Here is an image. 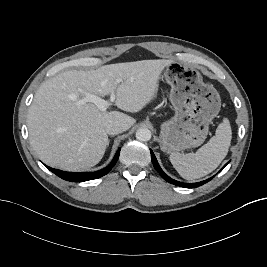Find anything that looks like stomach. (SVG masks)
<instances>
[{
  "label": "stomach",
  "mask_w": 267,
  "mask_h": 267,
  "mask_svg": "<svg viewBox=\"0 0 267 267\" xmlns=\"http://www.w3.org/2000/svg\"><path fill=\"white\" fill-rule=\"evenodd\" d=\"M162 77L171 86L170 102L175 114L161 125V150L173 154L200 146L207 137L209 123L220 111L219 93L204 83L196 68L177 61L163 69Z\"/></svg>",
  "instance_id": "1"
}]
</instances>
